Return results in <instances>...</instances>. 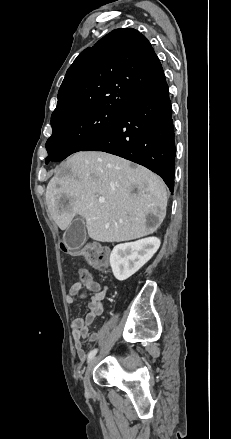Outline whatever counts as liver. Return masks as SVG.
Returning a JSON list of instances; mask_svg holds the SVG:
<instances>
[{
	"instance_id": "obj_1",
	"label": "liver",
	"mask_w": 231,
	"mask_h": 439,
	"mask_svg": "<svg viewBox=\"0 0 231 439\" xmlns=\"http://www.w3.org/2000/svg\"><path fill=\"white\" fill-rule=\"evenodd\" d=\"M45 197L61 230L80 215L89 237L99 242L129 241L155 232L168 201L159 176L116 155L95 151L69 157L48 183ZM149 214L157 218L156 226L147 225Z\"/></svg>"
}]
</instances>
